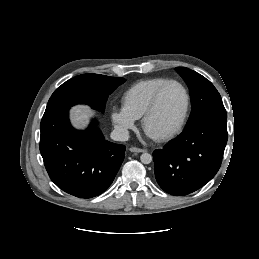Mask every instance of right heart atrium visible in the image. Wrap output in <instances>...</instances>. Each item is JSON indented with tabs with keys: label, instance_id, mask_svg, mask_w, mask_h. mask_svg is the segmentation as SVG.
Returning a JSON list of instances; mask_svg holds the SVG:
<instances>
[{
	"label": "right heart atrium",
	"instance_id": "right-heart-atrium-1",
	"mask_svg": "<svg viewBox=\"0 0 259 259\" xmlns=\"http://www.w3.org/2000/svg\"><path fill=\"white\" fill-rule=\"evenodd\" d=\"M110 118L117 133L125 137L130 130L135 129L136 120L123 107L114 106L111 109Z\"/></svg>",
	"mask_w": 259,
	"mask_h": 259
}]
</instances>
